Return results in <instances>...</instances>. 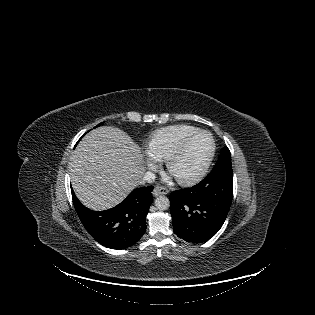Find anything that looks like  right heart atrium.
I'll return each instance as SVG.
<instances>
[{
  "mask_svg": "<svg viewBox=\"0 0 315 315\" xmlns=\"http://www.w3.org/2000/svg\"><path fill=\"white\" fill-rule=\"evenodd\" d=\"M148 154H149V152H148ZM157 163H158V160L155 159L152 155L149 154L147 156V164L150 168H154L157 165Z\"/></svg>",
  "mask_w": 315,
  "mask_h": 315,
  "instance_id": "1",
  "label": "right heart atrium"
}]
</instances>
